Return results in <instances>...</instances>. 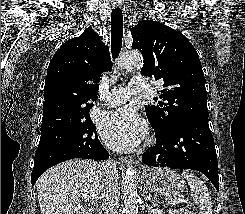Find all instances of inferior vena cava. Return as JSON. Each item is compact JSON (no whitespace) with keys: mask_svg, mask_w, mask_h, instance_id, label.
Listing matches in <instances>:
<instances>
[{"mask_svg":"<svg viewBox=\"0 0 245 214\" xmlns=\"http://www.w3.org/2000/svg\"><path fill=\"white\" fill-rule=\"evenodd\" d=\"M100 168L104 174L100 194L102 209L104 214H118L119 194L116 163L110 159L101 163Z\"/></svg>","mask_w":245,"mask_h":214,"instance_id":"602c4592","label":"inferior vena cava"}]
</instances>
